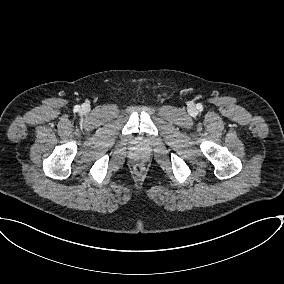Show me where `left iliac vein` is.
<instances>
[{
  "label": "left iliac vein",
  "mask_w": 284,
  "mask_h": 284,
  "mask_svg": "<svg viewBox=\"0 0 284 284\" xmlns=\"http://www.w3.org/2000/svg\"><path fill=\"white\" fill-rule=\"evenodd\" d=\"M190 111H191V112H194V109H193V108H191V109H190Z\"/></svg>",
  "instance_id": "1"
}]
</instances>
